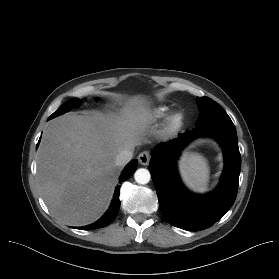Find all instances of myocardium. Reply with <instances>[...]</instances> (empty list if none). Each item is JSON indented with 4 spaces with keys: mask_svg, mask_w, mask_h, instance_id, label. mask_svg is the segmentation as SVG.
Segmentation results:
<instances>
[{
    "mask_svg": "<svg viewBox=\"0 0 279 279\" xmlns=\"http://www.w3.org/2000/svg\"><path fill=\"white\" fill-rule=\"evenodd\" d=\"M183 117L180 113L172 114L168 119V124L171 129H178L182 124Z\"/></svg>",
    "mask_w": 279,
    "mask_h": 279,
    "instance_id": "obj_1",
    "label": "myocardium"
}]
</instances>
